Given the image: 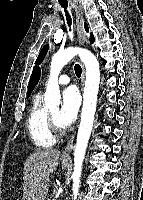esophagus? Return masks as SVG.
I'll return each mask as SVG.
<instances>
[{
	"label": "esophagus",
	"instance_id": "esophagus-1",
	"mask_svg": "<svg viewBox=\"0 0 143 200\" xmlns=\"http://www.w3.org/2000/svg\"><path fill=\"white\" fill-rule=\"evenodd\" d=\"M75 16H76V33H77V39L80 45H84L87 42V36L84 28V18H83V12L80 6L75 7ZM85 81V67L82 64V75H81V90H83ZM75 137V132L71 135V138L65 147L63 153H62V159L64 161H70V149L73 142V139Z\"/></svg>",
	"mask_w": 143,
	"mask_h": 200
}]
</instances>
